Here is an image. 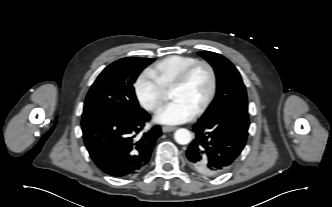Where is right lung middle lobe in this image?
<instances>
[{"mask_svg": "<svg viewBox=\"0 0 332 207\" xmlns=\"http://www.w3.org/2000/svg\"><path fill=\"white\" fill-rule=\"evenodd\" d=\"M154 59L128 57L106 67L91 86L82 119L99 114L132 115L142 111L133 84Z\"/></svg>", "mask_w": 332, "mask_h": 207, "instance_id": "dd1d6c3e", "label": "right lung middle lobe"}]
</instances>
